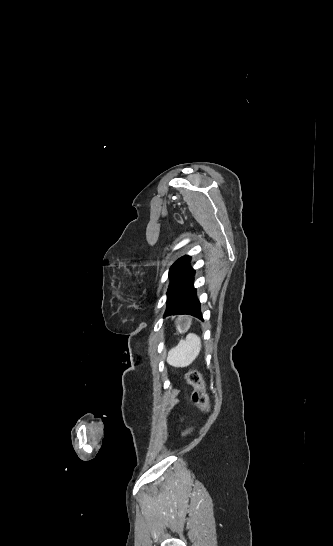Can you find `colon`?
<instances>
[{
    "instance_id": "1",
    "label": "colon",
    "mask_w": 333,
    "mask_h": 546,
    "mask_svg": "<svg viewBox=\"0 0 333 546\" xmlns=\"http://www.w3.org/2000/svg\"><path fill=\"white\" fill-rule=\"evenodd\" d=\"M186 379L190 385L193 386L194 391L192 394L193 403L198 406L203 411L209 413V398L206 392L205 383L202 379L201 374L197 370H190L186 374ZM192 431V428H188L184 435H188Z\"/></svg>"
}]
</instances>
